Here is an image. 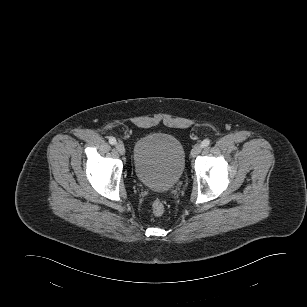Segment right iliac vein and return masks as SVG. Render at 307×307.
Masks as SVG:
<instances>
[{"mask_svg": "<svg viewBox=\"0 0 307 307\" xmlns=\"http://www.w3.org/2000/svg\"><path fill=\"white\" fill-rule=\"evenodd\" d=\"M116 149L117 151L121 154V155H124L125 154V147H124V144L121 143V142H118L116 143Z\"/></svg>", "mask_w": 307, "mask_h": 307, "instance_id": "63e3f726", "label": "right iliac vein"}]
</instances>
